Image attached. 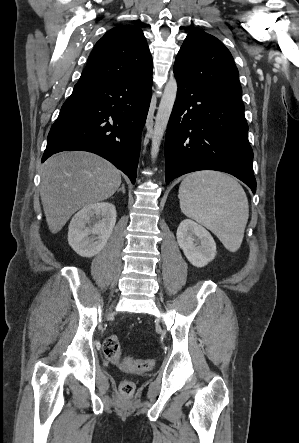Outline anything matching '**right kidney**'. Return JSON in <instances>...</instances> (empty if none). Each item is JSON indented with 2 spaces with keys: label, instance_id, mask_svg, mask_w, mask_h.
I'll return each instance as SVG.
<instances>
[{
  "label": "right kidney",
  "instance_id": "ca27d5eb",
  "mask_svg": "<svg viewBox=\"0 0 299 443\" xmlns=\"http://www.w3.org/2000/svg\"><path fill=\"white\" fill-rule=\"evenodd\" d=\"M116 223L115 206L108 202L83 207L72 218L68 243L82 257L97 255L106 245Z\"/></svg>",
  "mask_w": 299,
  "mask_h": 443
}]
</instances>
